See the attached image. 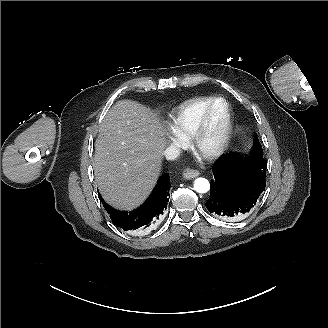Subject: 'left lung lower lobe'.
Segmentation results:
<instances>
[{
	"label": "left lung lower lobe",
	"instance_id": "0a47b994",
	"mask_svg": "<svg viewBox=\"0 0 328 328\" xmlns=\"http://www.w3.org/2000/svg\"><path fill=\"white\" fill-rule=\"evenodd\" d=\"M266 170L259 141L249 156L232 152L222 155L213 166L214 179L206 208L224 220L246 215L265 189Z\"/></svg>",
	"mask_w": 328,
	"mask_h": 328
}]
</instances>
